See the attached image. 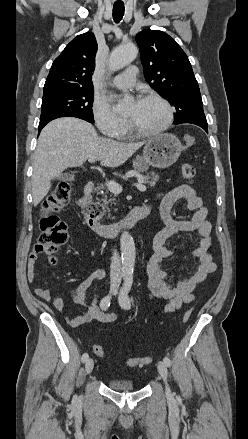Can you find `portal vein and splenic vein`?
I'll return each instance as SVG.
<instances>
[{"mask_svg": "<svg viewBox=\"0 0 248 439\" xmlns=\"http://www.w3.org/2000/svg\"><path fill=\"white\" fill-rule=\"evenodd\" d=\"M88 161L90 163H93V162H95V159L90 158V159H88ZM106 185L108 187V190L114 194H119L122 192V186L120 184L116 183L115 181H108ZM134 186H136V188L141 192L146 191V186L143 185L142 183H136V184H134Z\"/></svg>", "mask_w": 248, "mask_h": 439, "instance_id": "18ae733b", "label": "portal vein and splenic vein"}]
</instances>
